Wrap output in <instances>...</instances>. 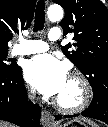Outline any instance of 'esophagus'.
<instances>
[{
    "label": "esophagus",
    "mask_w": 108,
    "mask_h": 127,
    "mask_svg": "<svg viewBox=\"0 0 108 127\" xmlns=\"http://www.w3.org/2000/svg\"><path fill=\"white\" fill-rule=\"evenodd\" d=\"M41 123L43 127H53L54 119L49 111L43 110L41 113Z\"/></svg>",
    "instance_id": "34e87169"
}]
</instances>
